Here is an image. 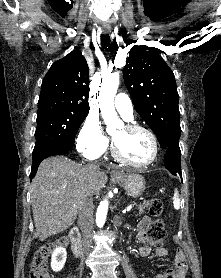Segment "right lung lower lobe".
<instances>
[{
	"instance_id": "98d812e1",
	"label": "right lung lower lobe",
	"mask_w": 221,
	"mask_h": 278,
	"mask_svg": "<svg viewBox=\"0 0 221 278\" xmlns=\"http://www.w3.org/2000/svg\"><path fill=\"white\" fill-rule=\"evenodd\" d=\"M73 145L74 144H71L68 141H55L34 150L30 180L36 175L38 166L43 159L53 155L65 154L73 147Z\"/></svg>"
}]
</instances>
